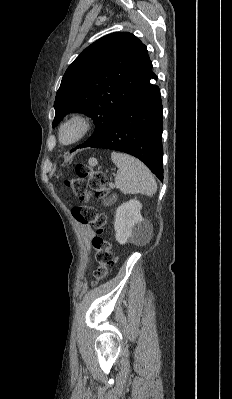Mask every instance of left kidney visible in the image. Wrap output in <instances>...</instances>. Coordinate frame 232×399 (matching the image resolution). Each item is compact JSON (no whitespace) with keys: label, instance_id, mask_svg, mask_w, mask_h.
<instances>
[{"label":"left kidney","instance_id":"left-kidney-1","mask_svg":"<svg viewBox=\"0 0 232 399\" xmlns=\"http://www.w3.org/2000/svg\"><path fill=\"white\" fill-rule=\"evenodd\" d=\"M142 203L138 200L125 201L116 209L114 229L115 237L119 243L138 241L146 237L150 223L141 215Z\"/></svg>","mask_w":232,"mask_h":399}]
</instances>
